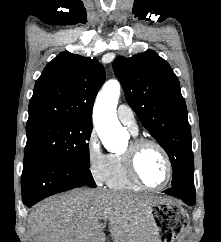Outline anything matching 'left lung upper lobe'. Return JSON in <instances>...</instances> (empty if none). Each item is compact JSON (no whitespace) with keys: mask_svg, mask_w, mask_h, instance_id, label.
Listing matches in <instances>:
<instances>
[{"mask_svg":"<svg viewBox=\"0 0 221 242\" xmlns=\"http://www.w3.org/2000/svg\"><path fill=\"white\" fill-rule=\"evenodd\" d=\"M113 69L130 107L168 154L172 186L193 179L194 163L187 107L170 65L153 50L117 57Z\"/></svg>","mask_w":221,"mask_h":242,"instance_id":"5c2ea615","label":"left lung upper lobe"}]
</instances>
